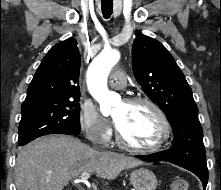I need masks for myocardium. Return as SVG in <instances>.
I'll return each mask as SVG.
<instances>
[{"label":"myocardium","instance_id":"f54148a6","mask_svg":"<svg viewBox=\"0 0 221 190\" xmlns=\"http://www.w3.org/2000/svg\"><path fill=\"white\" fill-rule=\"evenodd\" d=\"M125 103L130 105L144 104L149 106L154 111V113L158 118L159 134L156 141L153 144L148 146H135L124 140L123 136L121 135L117 127L115 135L117 144L126 150L136 153H153L163 148L170 136L171 127L169 120L165 112L162 110V108L153 100L141 96L127 98L125 100Z\"/></svg>","mask_w":221,"mask_h":190}]
</instances>
